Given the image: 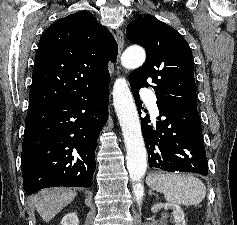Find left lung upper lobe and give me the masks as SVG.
<instances>
[{"mask_svg":"<svg viewBox=\"0 0 237 225\" xmlns=\"http://www.w3.org/2000/svg\"><path fill=\"white\" fill-rule=\"evenodd\" d=\"M126 37L147 53L144 64L129 75L132 87H148L149 81L158 102L197 103L192 52L175 29L146 15L127 26Z\"/></svg>","mask_w":237,"mask_h":225,"instance_id":"1","label":"left lung upper lobe"}]
</instances>
